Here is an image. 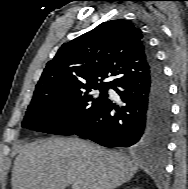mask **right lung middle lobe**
Here are the masks:
<instances>
[{
  "label": "right lung middle lobe",
  "mask_w": 188,
  "mask_h": 189,
  "mask_svg": "<svg viewBox=\"0 0 188 189\" xmlns=\"http://www.w3.org/2000/svg\"><path fill=\"white\" fill-rule=\"evenodd\" d=\"M99 90L100 95L94 94ZM108 88L56 90L35 94L25 113L22 127L57 135H73L103 105Z\"/></svg>",
  "instance_id": "1"
}]
</instances>
